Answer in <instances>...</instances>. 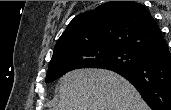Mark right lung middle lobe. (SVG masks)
I'll list each match as a JSON object with an SVG mask.
<instances>
[{
	"mask_svg": "<svg viewBox=\"0 0 171 110\" xmlns=\"http://www.w3.org/2000/svg\"><path fill=\"white\" fill-rule=\"evenodd\" d=\"M142 54L122 47L87 48L69 54L52 57L45 82H52L66 72L78 68L131 67L138 64Z\"/></svg>",
	"mask_w": 171,
	"mask_h": 110,
	"instance_id": "dd1d6c3e",
	"label": "right lung middle lobe"
}]
</instances>
